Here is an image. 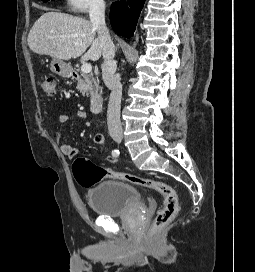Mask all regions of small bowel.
<instances>
[{
  "mask_svg": "<svg viewBox=\"0 0 255 272\" xmlns=\"http://www.w3.org/2000/svg\"><path fill=\"white\" fill-rule=\"evenodd\" d=\"M75 116L79 120H86L87 113L84 110H77ZM57 121L60 124H66L70 121V117L66 114H60L57 117ZM54 138L56 143L58 144L60 151L69 158H74L77 155V149L67 143L64 142V135L59 132L55 131ZM94 142L98 145L104 146L105 145V136L101 133H97L94 136Z\"/></svg>",
  "mask_w": 255,
  "mask_h": 272,
  "instance_id": "small-bowel-1",
  "label": "small bowel"
}]
</instances>
